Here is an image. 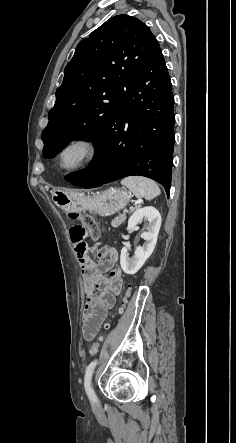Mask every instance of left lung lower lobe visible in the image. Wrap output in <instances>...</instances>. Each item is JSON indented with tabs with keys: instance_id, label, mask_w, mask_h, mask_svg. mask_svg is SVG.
<instances>
[{
	"instance_id": "1",
	"label": "left lung lower lobe",
	"mask_w": 236,
	"mask_h": 443,
	"mask_svg": "<svg viewBox=\"0 0 236 443\" xmlns=\"http://www.w3.org/2000/svg\"><path fill=\"white\" fill-rule=\"evenodd\" d=\"M96 140L91 165L66 176L82 188L140 175L170 193L174 148V97L157 44Z\"/></svg>"
}]
</instances>
